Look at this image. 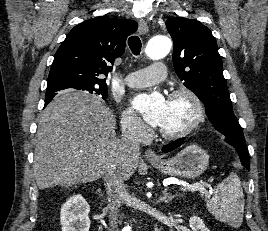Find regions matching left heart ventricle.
<instances>
[{"instance_id": "left-heart-ventricle-1", "label": "left heart ventricle", "mask_w": 268, "mask_h": 231, "mask_svg": "<svg viewBox=\"0 0 268 231\" xmlns=\"http://www.w3.org/2000/svg\"><path fill=\"white\" fill-rule=\"evenodd\" d=\"M193 114V105L188 99L184 97L168 99L159 128L168 132L178 131L191 121Z\"/></svg>"}]
</instances>
